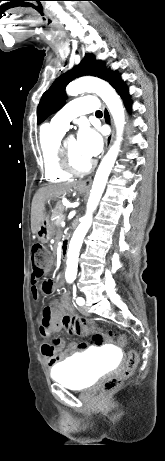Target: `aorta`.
<instances>
[{
    "mask_svg": "<svg viewBox=\"0 0 165 461\" xmlns=\"http://www.w3.org/2000/svg\"><path fill=\"white\" fill-rule=\"evenodd\" d=\"M84 92L96 93L105 102L113 117L117 138L97 169L87 203L86 214L82 217L81 223L71 238L67 251V268L65 272V278L69 282L74 281L76 278L79 252L83 239L92 224L93 213L98 206L109 174L116 161L125 125V114L121 99L107 82L95 77H83L71 82L66 88V93L69 96H77Z\"/></svg>",
    "mask_w": 165,
    "mask_h": 461,
    "instance_id": "762f6f07",
    "label": "aorta"
}]
</instances>
